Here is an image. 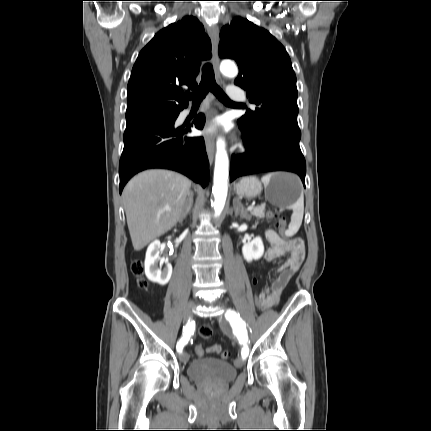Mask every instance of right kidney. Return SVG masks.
<instances>
[{
	"mask_svg": "<svg viewBox=\"0 0 431 431\" xmlns=\"http://www.w3.org/2000/svg\"><path fill=\"white\" fill-rule=\"evenodd\" d=\"M159 240L153 241L147 249L145 258V274L147 278L160 285H166L172 275V265L165 261L160 256ZM165 263V267L162 270V266Z\"/></svg>",
	"mask_w": 431,
	"mask_h": 431,
	"instance_id": "obj_1",
	"label": "right kidney"
}]
</instances>
